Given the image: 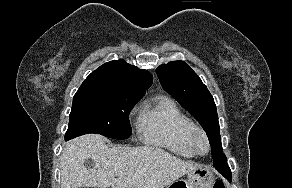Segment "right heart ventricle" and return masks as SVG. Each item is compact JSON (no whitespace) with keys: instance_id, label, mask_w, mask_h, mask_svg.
<instances>
[{"instance_id":"obj_1","label":"right heart ventricle","mask_w":292,"mask_h":188,"mask_svg":"<svg viewBox=\"0 0 292 188\" xmlns=\"http://www.w3.org/2000/svg\"><path fill=\"white\" fill-rule=\"evenodd\" d=\"M140 139L147 144L163 147L174 154L191 158L195 152L188 140L193 121L168 97H160L146 105L137 120Z\"/></svg>"}]
</instances>
